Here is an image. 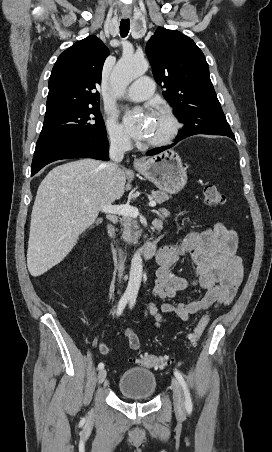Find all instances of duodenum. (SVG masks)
<instances>
[{
	"instance_id": "duodenum-1",
	"label": "duodenum",
	"mask_w": 272,
	"mask_h": 452,
	"mask_svg": "<svg viewBox=\"0 0 272 452\" xmlns=\"http://www.w3.org/2000/svg\"><path fill=\"white\" fill-rule=\"evenodd\" d=\"M153 226L157 231H160L163 227V221L160 220L159 218L154 219L153 221ZM107 232H108V236L111 240L114 239L115 237V226L112 222H109L107 224ZM121 252L123 254L129 255L130 253L125 252L123 250H121ZM138 255H140L143 258L146 259H150L152 257H154L155 255L157 256L158 254V248H157V243L155 240H151L148 241L146 243H144L143 245H141L137 252Z\"/></svg>"
}]
</instances>
